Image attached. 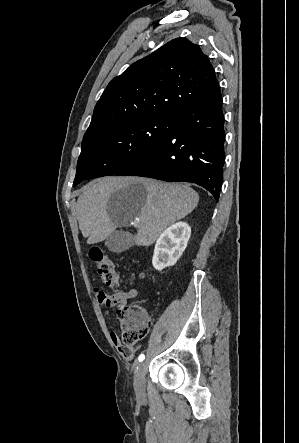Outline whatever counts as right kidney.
Wrapping results in <instances>:
<instances>
[{
  "label": "right kidney",
  "instance_id": "1",
  "mask_svg": "<svg viewBox=\"0 0 299 443\" xmlns=\"http://www.w3.org/2000/svg\"><path fill=\"white\" fill-rule=\"evenodd\" d=\"M190 236L191 228L186 222H178L168 227L156 241L153 267L162 271L173 266L187 247Z\"/></svg>",
  "mask_w": 299,
  "mask_h": 443
}]
</instances>
